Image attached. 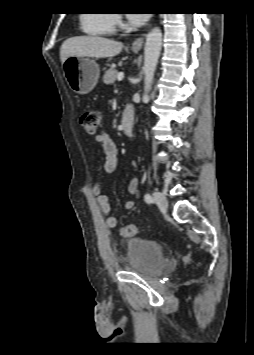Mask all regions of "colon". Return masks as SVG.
Here are the masks:
<instances>
[{
    "label": "colon",
    "mask_w": 254,
    "mask_h": 355,
    "mask_svg": "<svg viewBox=\"0 0 254 355\" xmlns=\"http://www.w3.org/2000/svg\"><path fill=\"white\" fill-rule=\"evenodd\" d=\"M100 116L96 110H87L82 114L81 124L89 134H95L99 127ZM140 230L136 224H128L121 227L120 232L124 237H132Z\"/></svg>",
    "instance_id": "5ec220e1"
}]
</instances>
